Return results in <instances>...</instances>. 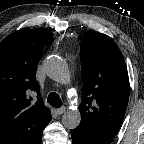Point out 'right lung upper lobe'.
Here are the masks:
<instances>
[{
    "label": "right lung upper lobe",
    "mask_w": 144,
    "mask_h": 144,
    "mask_svg": "<svg viewBox=\"0 0 144 144\" xmlns=\"http://www.w3.org/2000/svg\"><path fill=\"white\" fill-rule=\"evenodd\" d=\"M53 40L48 29H21L0 43V144H37L50 122L35 76L43 47Z\"/></svg>",
    "instance_id": "obj_1"
}]
</instances>
